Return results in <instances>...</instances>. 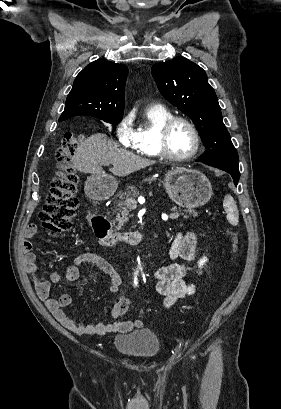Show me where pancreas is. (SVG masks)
<instances>
[{"instance_id": "pancreas-1", "label": "pancreas", "mask_w": 281, "mask_h": 409, "mask_svg": "<svg viewBox=\"0 0 281 409\" xmlns=\"http://www.w3.org/2000/svg\"><path fill=\"white\" fill-rule=\"evenodd\" d=\"M132 194H136L137 196L139 194V190H137V188H135L133 184L132 186H128L127 192H123V194H119L122 200H120V202H118V205H117V207H119V209H117L119 213H117V219H115V221H118L119 225L118 227H116V229H121L122 223H127L128 221V217H120V213L121 215H123L124 211H122V209H125V207H127V200L128 198H130ZM188 211L189 213H192L193 217H198V213H196V211H192V209H188ZM178 215H184V213H178ZM185 219H187V217H185Z\"/></svg>"}]
</instances>
